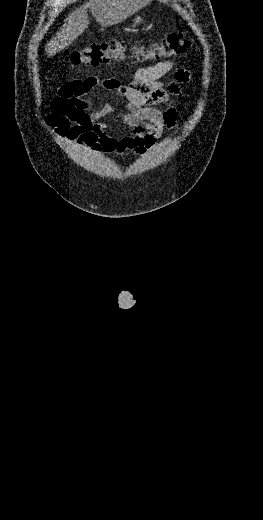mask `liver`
Listing matches in <instances>:
<instances>
[{
  "instance_id": "1",
  "label": "liver",
  "mask_w": 263,
  "mask_h": 520,
  "mask_svg": "<svg viewBox=\"0 0 263 520\" xmlns=\"http://www.w3.org/2000/svg\"><path fill=\"white\" fill-rule=\"evenodd\" d=\"M151 0H89L68 14L61 31L46 46V54L53 56L69 46L85 29L88 28L87 10L102 26H111L124 21Z\"/></svg>"
}]
</instances>
